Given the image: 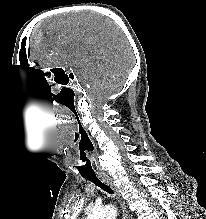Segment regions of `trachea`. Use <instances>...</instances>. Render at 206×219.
Returning a JSON list of instances; mask_svg holds the SVG:
<instances>
[{
  "label": "trachea",
  "instance_id": "3493384b",
  "mask_svg": "<svg viewBox=\"0 0 206 219\" xmlns=\"http://www.w3.org/2000/svg\"><path fill=\"white\" fill-rule=\"evenodd\" d=\"M82 176H83V178L92 182L93 184H95L96 186H98L102 190L106 191L107 193L113 194V191L111 190V188L108 185H106L105 183H103L102 181H100L99 178L96 176V174L82 175Z\"/></svg>",
  "mask_w": 206,
  "mask_h": 219
}]
</instances>
